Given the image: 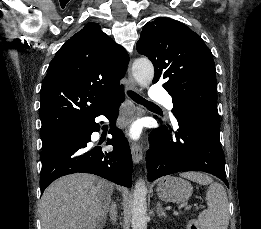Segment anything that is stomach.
<instances>
[{
	"label": "stomach",
	"mask_w": 261,
	"mask_h": 229,
	"mask_svg": "<svg viewBox=\"0 0 261 229\" xmlns=\"http://www.w3.org/2000/svg\"><path fill=\"white\" fill-rule=\"evenodd\" d=\"M157 197L164 203H186L189 201L193 189L184 179L179 177H163L156 187Z\"/></svg>",
	"instance_id": "1"
}]
</instances>
